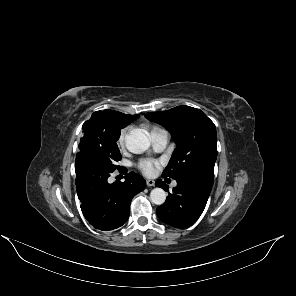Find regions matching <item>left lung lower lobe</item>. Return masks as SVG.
<instances>
[{
    "label": "left lung lower lobe",
    "mask_w": 296,
    "mask_h": 296,
    "mask_svg": "<svg viewBox=\"0 0 296 296\" xmlns=\"http://www.w3.org/2000/svg\"><path fill=\"white\" fill-rule=\"evenodd\" d=\"M214 176L194 174L177 179L178 185L157 208L158 217L175 228L192 225L202 214L212 189ZM155 185L168 191V185L157 180Z\"/></svg>",
    "instance_id": "obj_1"
}]
</instances>
